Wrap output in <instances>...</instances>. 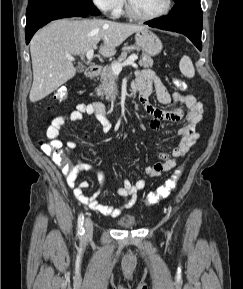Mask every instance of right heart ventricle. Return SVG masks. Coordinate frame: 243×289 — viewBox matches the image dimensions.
Listing matches in <instances>:
<instances>
[{
    "label": "right heart ventricle",
    "mask_w": 243,
    "mask_h": 289,
    "mask_svg": "<svg viewBox=\"0 0 243 289\" xmlns=\"http://www.w3.org/2000/svg\"><path fill=\"white\" fill-rule=\"evenodd\" d=\"M120 13H122V12H121V10L119 11V13H118V14H120Z\"/></svg>",
    "instance_id": "right-heart-ventricle-1"
}]
</instances>
